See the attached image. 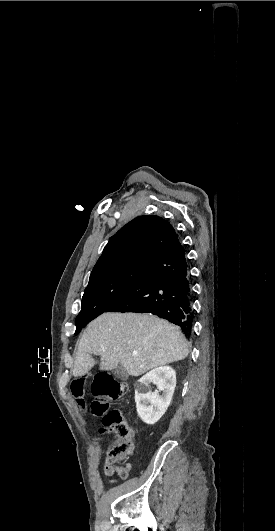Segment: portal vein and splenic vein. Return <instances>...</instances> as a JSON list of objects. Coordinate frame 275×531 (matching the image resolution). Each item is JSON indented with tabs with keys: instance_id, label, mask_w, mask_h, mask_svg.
Masks as SVG:
<instances>
[{
	"instance_id": "obj_1",
	"label": "portal vein and splenic vein",
	"mask_w": 275,
	"mask_h": 531,
	"mask_svg": "<svg viewBox=\"0 0 275 531\" xmlns=\"http://www.w3.org/2000/svg\"><path fill=\"white\" fill-rule=\"evenodd\" d=\"M103 351H104V349H103ZM136 355H137V353H133V357H136Z\"/></svg>"
}]
</instances>
